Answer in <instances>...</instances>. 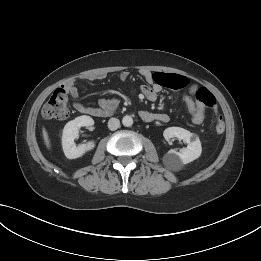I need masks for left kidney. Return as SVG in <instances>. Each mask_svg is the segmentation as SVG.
Masks as SVG:
<instances>
[{"instance_id": "left-kidney-1", "label": "left kidney", "mask_w": 261, "mask_h": 261, "mask_svg": "<svg viewBox=\"0 0 261 261\" xmlns=\"http://www.w3.org/2000/svg\"><path fill=\"white\" fill-rule=\"evenodd\" d=\"M163 136L167 141L176 137L187 143V147L181 149L180 152L169 150L165 154L164 161L169 167L176 168L181 164H188L200 157L202 147L197 135L180 127H168L164 130Z\"/></svg>"}]
</instances>
